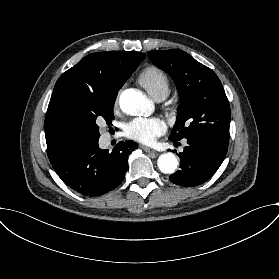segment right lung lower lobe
I'll return each mask as SVG.
<instances>
[{"label": "right lung lower lobe", "mask_w": 279, "mask_h": 279, "mask_svg": "<svg viewBox=\"0 0 279 279\" xmlns=\"http://www.w3.org/2000/svg\"><path fill=\"white\" fill-rule=\"evenodd\" d=\"M133 141L119 142L111 153L101 150L98 140L52 163L62 181L84 196L95 197L118 187L128 168Z\"/></svg>", "instance_id": "98d812e1"}]
</instances>
